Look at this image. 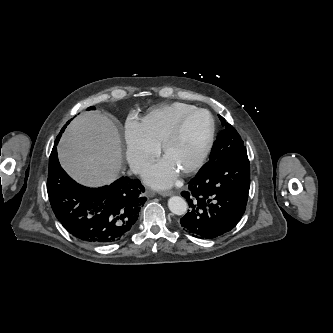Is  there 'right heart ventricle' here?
I'll return each mask as SVG.
<instances>
[{
    "label": "right heart ventricle",
    "mask_w": 333,
    "mask_h": 333,
    "mask_svg": "<svg viewBox=\"0 0 333 333\" xmlns=\"http://www.w3.org/2000/svg\"><path fill=\"white\" fill-rule=\"evenodd\" d=\"M194 108L184 102L162 105L148 111L141 123L148 138L159 147L178 119Z\"/></svg>",
    "instance_id": "right-heart-ventricle-1"
}]
</instances>
